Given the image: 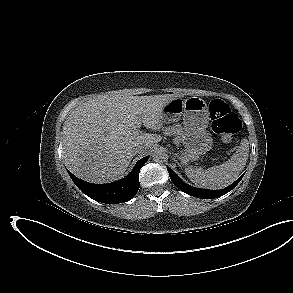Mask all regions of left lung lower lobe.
Returning a JSON list of instances; mask_svg holds the SVG:
<instances>
[{
  "label": "left lung lower lobe",
  "instance_id": "1",
  "mask_svg": "<svg viewBox=\"0 0 293 293\" xmlns=\"http://www.w3.org/2000/svg\"><path fill=\"white\" fill-rule=\"evenodd\" d=\"M169 176L173 182V184L179 188L181 191L184 193H187L191 196L198 197V198H203V199H213L220 197L229 191H231L242 179L243 175L238 178L234 183H232L230 186L227 188L221 189V190H207V189H200V188H195L192 186L187 185L184 183L176 174L173 172L170 168H167Z\"/></svg>",
  "mask_w": 293,
  "mask_h": 293
}]
</instances>
